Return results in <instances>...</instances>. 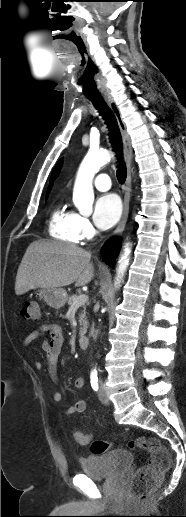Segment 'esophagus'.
Returning a JSON list of instances; mask_svg holds the SVG:
<instances>
[{
    "label": "esophagus",
    "instance_id": "34e87169",
    "mask_svg": "<svg viewBox=\"0 0 186 517\" xmlns=\"http://www.w3.org/2000/svg\"><path fill=\"white\" fill-rule=\"evenodd\" d=\"M103 97H104L105 101L108 103L109 107L111 108L113 114L116 117L119 129L121 132L122 140H123L124 156H125L126 165H127V178H126V182H125V186H124L125 194H124V200H123V213H122V217H121L116 229L113 232V237H119L125 229L126 222L128 219V214H129V204H130V198H131V171H132L131 164H132V158H133V150H132L130 135L128 133L126 124L124 122V119L121 115V112H120L117 104L107 94H104Z\"/></svg>",
    "mask_w": 186,
    "mask_h": 517
}]
</instances>
